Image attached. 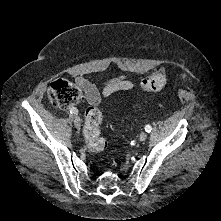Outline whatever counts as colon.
<instances>
[{
	"label": "colon",
	"instance_id": "5ec220e1",
	"mask_svg": "<svg viewBox=\"0 0 221 221\" xmlns=\"http://www.w3.org/2000/svg\"><path fill=\"white\" fill-rule=\"evenodd\" d=\"M167 80L166 70L160 68L141 82V87L147 91L161 90ZM80 90L72 83L58 79L51 83L48 89L49 100L58 107H69L81 100ZM102 111L96 106H90L85 112L84 136L87 147L92 152H100L106 148V140L100 135Z\"/></svg>",
	"mask_w": 221,
	"mask_h": 221
}]
</instances>
